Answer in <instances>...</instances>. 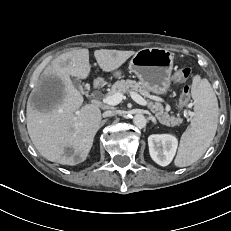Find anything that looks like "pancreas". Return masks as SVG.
Returning <instances> with one entry per match:
<instances>
[{
    "label": "pancreas",
    "instance_id": "pancreas-1",
    "mask_svg": "<svg viewBox=\"0 0 231 231\" xmlns=\"http://www.w3.org/2000/svg\"><path fill=\"white\" fill-rule=\"evenodd\" d=\"M130 92L139 93L144 97L149 96L148 89L139 82L134 80H120L116 81L109 89L108 95H113L115 93L126 94ZM150 108L156 113V117L159 122L166 126H177L182 123V119L179 117L170 116L168 113L164 112V108L161 103H149Z\"/></svg>",
    "mask_w": 231,
    "mask_h": 231
}]
</instances>
